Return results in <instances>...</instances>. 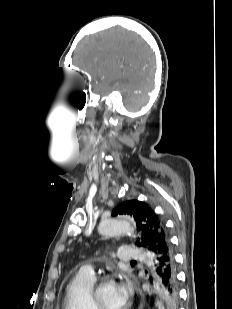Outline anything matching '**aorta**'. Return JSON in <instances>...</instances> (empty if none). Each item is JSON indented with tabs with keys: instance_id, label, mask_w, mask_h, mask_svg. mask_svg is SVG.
Wrapping results in <instances>:
<instances>
[{
	"instance_id": "aorta-1",
	"label": "aorta",
	"mask_w": 232,
	"mask_h": 309,
	"mask_svg": "<svg viewBox=\"0 0 232 309\" xmlns=\"http://www.w3.org/2000/svg\"><path fill=\"white\" fill-rule=\"evenodd\" d=\"M100 231L106 236H115L123 233L131 234L134 232V226L132 221L128 218L118 217L105 220L100 225ZM158 309H164L163 304L160 301H156Z\"/></svg>"
}]
</instances>
